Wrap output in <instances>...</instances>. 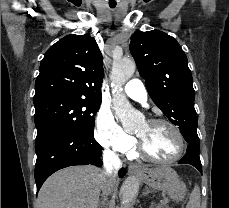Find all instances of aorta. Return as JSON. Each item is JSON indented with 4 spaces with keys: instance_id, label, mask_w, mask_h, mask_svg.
I'll list each match as a JSON object with an SVG mask.
<instances>
[{
    "instance_id": "762f6f07",
    "label": "aorta",
    "mask_w": 229,
    "mask_h": 208,
    "mask_svg": "<svg viewBox=\"0 0 229 208\" xmlns=\"http://www.w3.org/2000/svg\"><path fill=\"white\" fill-rule=\"evenodd\" d=\"M136 69L135 62L122 59L113 63L111 87L113 89V110L125 129H134L143 119V115L135 110L123 94V85L132 77ZM139 190L136 177H128L121 187V204L123 208H131Z\"/></svg>"
}]
</instances>
